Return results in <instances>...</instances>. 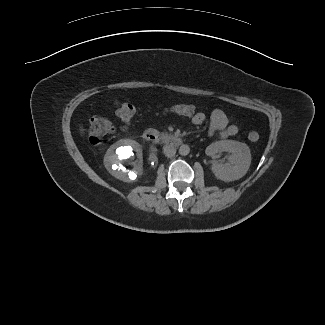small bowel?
Returning a JSON list of instances; mask_svg holds the SVG:
<instances>
[{"instance_id": "1", "label": "small bowel", "mask_w": 325, "mask_h": 325, "mask_svg": "<svg viewBox=\"0 0 325 325\" xmlns=\"http://www.w3.org/2000/svg\"><path fill=\"white\" fill-rule=\"evenodd\" d=\"M181 105V104H180ZM190 105V104H188ZM168 111V107L166 108ZM178 115V114H177ZM194 125H201L206 120V115L202 112L197 119L190 118ZM238 128L233 124L230 118L220 109H214L210 114V124L208 134L210 136L218 135L221 138H228L236 135Z\"/></svg>"}]
</instances>
